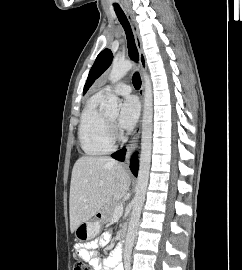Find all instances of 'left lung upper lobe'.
<instances>
[{
  "label": "left lung upper lobe",
  "mask_w": 242,
  "mask_h": 270,
  "mask_svg": "<svg viewBox=\"0 0 242 270\" xmlns=\"http://www.w3.org/2000/svg\"><path fill=\"white\" fill-rule=\"evenodd\" d=\"M112 52L109 49L103 50L96 58L84 86V94L87 92L93 82L110 66L112 61Z\"/></svg>",
  "instance_id": "obj_1"
}]
</instances>
